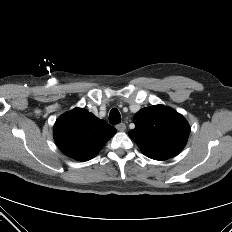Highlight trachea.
Returning a JSON list of instances; mask_svg holds the SVG:
<instances>
[{"label":"trachea","mask_w":232,"mask_h":232,"mask_svg":"<svg viewBox=\"0 0 232 232\" xmlns=\"http://www.w3.org/2000/svg\"><path fill=\"white\" fill-rule=\"evenodd\" d=\"M109 122L111 124H118L121 122V116L119 111L116 108H113L109 114Z\"/></svg>","instance_id":"obj_1"}]
</instances>
